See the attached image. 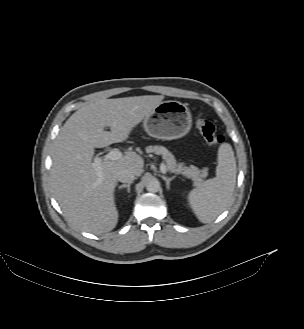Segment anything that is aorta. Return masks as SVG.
Instances as JSON below:
<instances>
[{
  "label": "aorta",
  "instance_id": "1",
  "mask_svg": "<svg viewBox=\"0 0 304 329\" xmlns=\"http://www.w3.org/2000/svg\"><path fill=\"white\" fill-rule=\"evenodd\" d=\"M146 189L148 192L156 193L160 189V183L157 180H150L146 185Z\"/></svg>",
  "mask_w": 304,
  "mask_h": 329
}]
</instances>
